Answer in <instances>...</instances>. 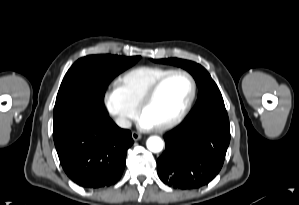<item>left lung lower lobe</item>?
<instances>
[{
	"mask_svg": "<svg viewBox=\"0 0 299 205\" xmlns=\"http://www.w3.org/2000/svg\"><path fill=\"white\" fill-rule=\"evenodd\" d=\"M165 152L157 160L159 178L175 189H196L220 171L230 142L225 108L186 118L164 137Z\"/></svg>",
	"mask_w": 299,
	"mask_h": 205,
	"instance_id": "obj_1",
	"label": "left lung lower lobe"
}]
</instances>
